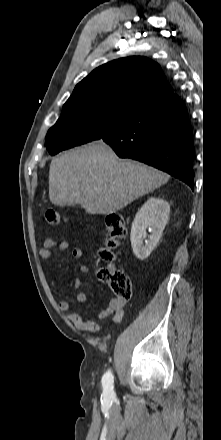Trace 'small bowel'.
<instances>
[{
	"mask_svg": "<svg viewBox=\"0 0 221 440\" xmlns=\"http://www.w3.org/2000/svg\"><path fill=\"white\" fill-rule=\"evenodd\" d=\"M52 248H57L59 251H67L71 249L70 244L65 240H54L46 239L43 243V247L39 249L38 254L44 260H49L51 258ZM71 256L74 260H81L83 257V252L79 248L71 249ZM81 274L85 275L89 272V268L86 265H81L79 268ZM82 285V278L77 277L74 280V287L79 288ZM87 301V296L84 292H79L76 295V302L79 305H84ZM125 299H119L117 297L110 300L106 309L100 311L97 314L98 320H104L109 316H112V323L116 324L120 321L123 313V307L125 305ZM58 308L63 312H68L70 310V304L65 301L58 302ZM69 319L76 325L77 328L84 330L89 333H97L102 330V326L91 319H85L83 315L79 312H71L68 315Z\"/></svg>",
	"mask_w": 221,
	"mask_h": 440,
	"instance_id": "1",
	"label": "small bowel"
}]
</instances>
